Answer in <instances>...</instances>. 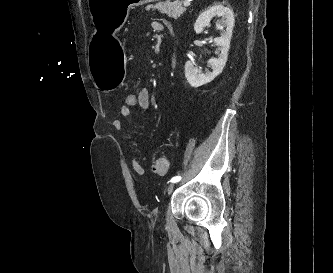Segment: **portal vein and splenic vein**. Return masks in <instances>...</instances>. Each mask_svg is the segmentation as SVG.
Returning a JSON list of instances; mask_svg holds the SVG:
<instances>
[{
  "mask_svg": "<svg viewBox=\"0 0 333 273\" xmlns=\"http://www.w3.org/2000/svg\"><path fill=\"white\" fill-rule=\"evenodd\" d=\"M191 1L192 0H185L184 3H183V5L187 7V6L190 5Z\"/></svg>",
  "mask_w": 333,
  "mask_h": 273,
  "instance_id": "portal-vein-and-splenic-vein-1",
  "label": "portal vein and splenic vein"
}]
</instances>
